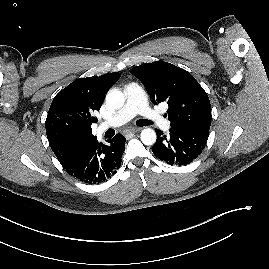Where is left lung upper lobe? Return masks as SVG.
Here are the masks:
<instances>
[{
	"instance_id": "left-lung-upper-lobe-1",
	"label": "left lung upper lobe",
	"mask_w": 269,
	"mask_h": 269,
	"mask_svg": "<svg viewBox=\"0 0 269 269\" xmlns=\"http://www.w3.org/2000/svg\"><path fill=\"white\" fill-rule=\"evenodd\" d=\"M130 72L143 83L154 104H168L171 129H210L208 95L189 72L162 61L144 63Z\"/></svg>"
}]
</instances>
